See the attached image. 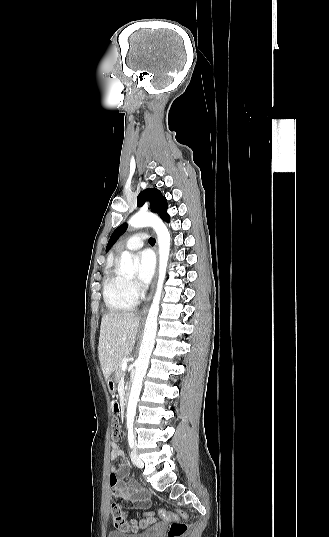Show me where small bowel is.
Listing matches in <instances>:
<instances>
[{
	"instance_id": "small-bowel-1",
	"label": "small bowel",
	"mask_w": 329,
	"mask_h": 537,
	"mask_svg": "<svg viewBox=\"0 0 329 537\" xmlns=\"http://www.w3.org/2000/svg\"><path fill=\"white\" fill-rule=\"evenodd\" d=\"M112 412L117 414L122 411L124 405L121 399L116 398L113 401ZM111 458L113 460L119 459L123 456V451L120 449L117 443L112 442L111 445ZM128 466L123 463L120 466H112L109 477L110 485L113 487V494L110 499L113 503H120L127 506L130 501H139L142 504L147 502V492L137 486L134 480L127 479Z\"/></svg>"
}]
</instances>
